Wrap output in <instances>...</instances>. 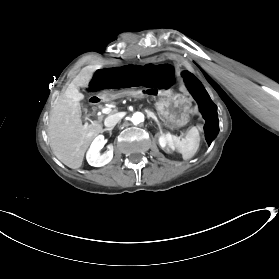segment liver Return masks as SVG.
<instances>
[{
  "label": "liver",
  "mask_w": 279,
  "mask_h": 279,
  "mask_svg": "<svg viewBox=\"0 0 279 279\" xmlns=\"http://www.w3.org/2000/svg\"><path fill=\"white\" fill-rule=\"evenodd\" d=\"M93 65L85 67L69 84L66 91L57 99L49 113L47 135L54 155L71 169L81 167L84 155L92 140L103 130L101 119L83 125L81 104L84 95L79 87H88L93 79Z\"/></svg>",
  "instance_id": "liver-1"
}]
</instances>
